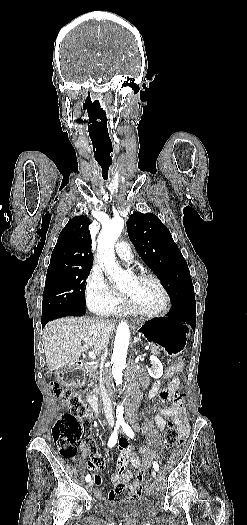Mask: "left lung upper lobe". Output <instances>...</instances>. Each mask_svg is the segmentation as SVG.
I'll return each mask as SVG.
<instances>
[{"instance_id": "1", "label": "left lung upper lobe", "mask_w": 247, "mask_h": 525, "mask_svg": "<svg viewBox=\"0 0 247 525\" xmlns=\"http://www.w3.org/2000/svg\"><path fill=\"white\" fill-rule=\"evenodd\" d=\"M127 231L138 254L164 285L172 304L195 301L188 265L161 220L152 213L135 212L127 221Z\"/></svg>"}]
</instances>
